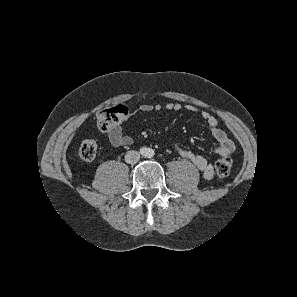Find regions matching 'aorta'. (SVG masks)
<instances>
[{
  "label": "aorta",
  "instance_id": "obj_1",
  "mask_svg": "<svg viewBox=\"0 0 297 297\" xmlns=\"http://www.w3.org/2000/svg\"><path fill=\"white\" fill-rule=\"evenodd\" d=\"M146 150H147V153L145 154V156H148V157H151V156H153V154H154V151H153L152 149H150V148H147Z\"/></svg>",
  "mask_w": 297,
  "mask_h": 297
}]
</instances>
